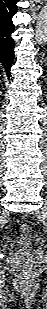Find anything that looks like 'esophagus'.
<instances>
[{
	"label": "esophagus",
	"mask_w": 47,
	"mask_h": 309,
	"mask_svg": "<svg viewBox=\"0 0 47 309\" xmlns=\"http://www.w3.org/2000/svg\"><path fill=\"white\" fill-rule=\"evenodd\" d=\"M31 6L34 10H38L41 7V0H31Z\"/></svg>",
	"instance_id": "esophagus-1"
}]
</instances>
